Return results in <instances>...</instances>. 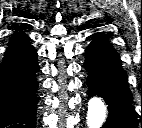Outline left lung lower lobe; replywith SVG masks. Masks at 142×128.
<instances>
[{"instance_id":"0a47b994","label":"left lung lower lobe","mask_w":142,"mask_h":128,"mask_svg":"<svg viewBox=\"0 0 142 128\" xmlns=\"http://www.w3.org/2000/svg\"><path fill=\"white\" fill-rule=\"evenodd\" d=\"M92 36L84 66L88 71V96H101L108 104L109 114L103 128H137V117L131 107L132 93L120 57L100 32ZM140 118L142 127V110Z\"/></svg>"}]
</instances>
